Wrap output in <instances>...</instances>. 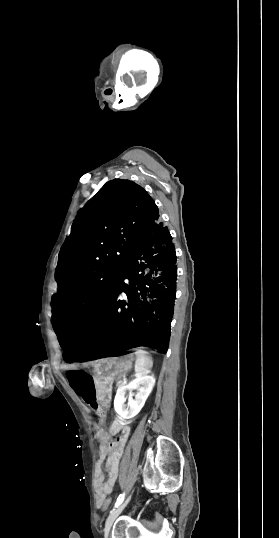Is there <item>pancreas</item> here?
<instances>
[{"mask_svg": "<svg viewBox=\"0 0 279 538\" xmlns=\"http://www.w3.org/2000/svg\"><path fill=\"white\" fill-rule=\"evenodd\" d=\"M114 385H119V380H114Z\"/></svg>", "mask_w": 279, "mask_h": 538, "instance_id": "obj_1", "label": "pancreas"}]
</instances>
